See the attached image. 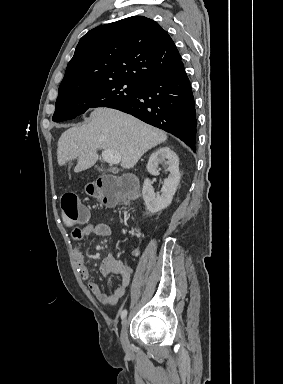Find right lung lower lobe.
Masks as SVG:
<instances>
[{"label":"right lung lower lobe","mask_w":283,"mask_h":384,"mask_svg":"<svg viewBox=\"0 0 283 384\" xmlns=\"http://www.w3.org/2000/svg\"><path fill=\"white\" fill-rule=\"evenodd\" d=\"M111 108L131 114L173 134L195 152V101L184 67L140 84V90L134 99Z\"/></svg>","instance_id":"98d812e1"}]
</instances>
